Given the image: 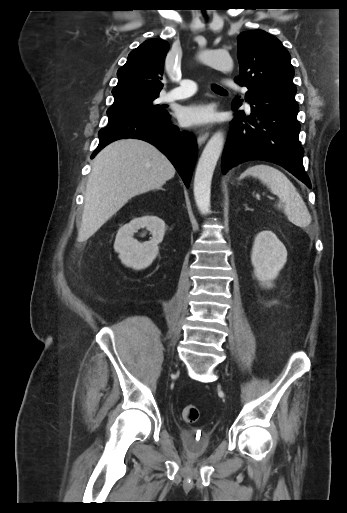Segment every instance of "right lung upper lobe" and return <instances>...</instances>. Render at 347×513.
Segmentation results:
<instances>
[{"label":"right lung upper lobe","mask_w":347,"mask_h":513,"mask_svg":"<svg viewBox=\"0 0 347 513\" xmlns=\"http://www.w3.org/2000/svg\"><path fill=\"white\" fill-rule=\"evenodd\" d=\"M167 41L149 39L131 51L127 62L117 72L118 84L113 88L114 103L146 96H159L163 87L164 58Z\"/></svg>","instance_id":"cb5924a9"}]
</instances>
